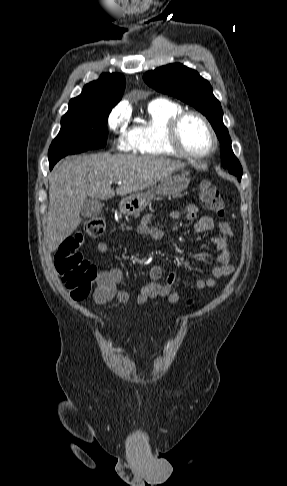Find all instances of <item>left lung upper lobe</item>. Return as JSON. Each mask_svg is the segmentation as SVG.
I'll use <instances>...</instances> for the list:
<instances>
[{
    "instance_id": "1",
    "label": "left lung upper lobe",
    "mask_w": 287,
    "mask_h": 486,
    "mask_svg": "<svg viewBox=\"0 0 287 486\" xmlns=\"http://www.w3.org/2000/svg\"><path fill=\"white\" fill-rule=\"evenodd\" d=\"M144 81L158 92L174 96L195 107L207 117L222 145L221 164L241 180L242 167L234 155L231 139L223 123L220 102L213 95L210 83L195 70L173 63L148 71Z\"/></svg>"
}]
</instances>
